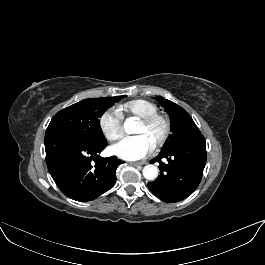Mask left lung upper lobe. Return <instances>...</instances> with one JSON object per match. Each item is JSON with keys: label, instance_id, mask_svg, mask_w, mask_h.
<instances>
[{"label": "left lung upper lobe", "instance_id": "1", "mask_svg": "<svg viewBox=\"0 0 265 265\" xmlns=\"http://www.w3.org/2000/svg\"><path fill=\"white\" fill-rule=\"evenodd\" d=\"M156 100L168 112L172 126V135L162 151L202 135L191 116L182 107L160 96H156Z\"/></svg>", "mask_w": 265, "mask_h": 265}]
</instances>
